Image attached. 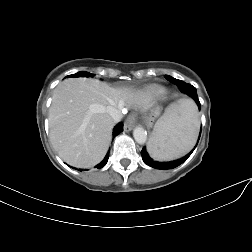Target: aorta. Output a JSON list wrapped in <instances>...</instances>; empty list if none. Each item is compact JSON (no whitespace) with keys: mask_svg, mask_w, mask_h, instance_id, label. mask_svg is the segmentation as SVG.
<instances>
[{"mask_svg":"<svg viewBox=\"0 0 252 252\" xmlns=\"http://www.w3.org/2000/svg\"><path fill=\"white\" fill-rule=\"evenodd\" d=\"M133 137L137 143L144 144L147 140V132L143 128L137 127L133 131Z\"/></svg>","mask_w":252,"mask_h":252,"instance_id":"aorta-1","label":"aorta"}]
</instances>
